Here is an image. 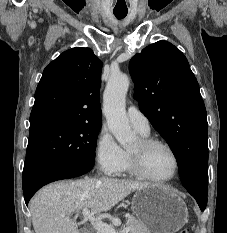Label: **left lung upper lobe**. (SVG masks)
I'll use <instances>...</instances> for the list:
<instances>
[{
  "instance_id": "obj_1",
  "label": "left lung upper lobe",
  "mask_w": 227,
  "mask_h": 233,
  "mask_svg": "<svg viewBox=\"0 0 227 233\" xmlns=\"http://www.w3.org/2000/svg\"><path fill=\"white\" fill-rule=\"evenodd\" d=\"M140 110L167 141L187 191L207 196V113L184 54L161 40L129 63Z\"/></svg>"
}]
</instances>
